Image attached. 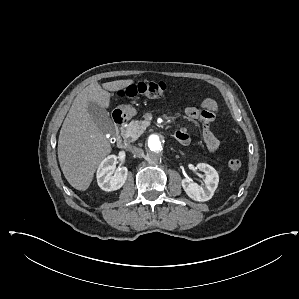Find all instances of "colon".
<instances>
[{"mask_svg": "<svg viewBox=\"0 0 299 299\" xmlns=\"http://www.w3.org/2000/svg\"><path fill=\"white\" fill-rule=\"evenodd\" d=\"M166 90V84L160 81H142L131 84L119 91L121 97L136 98V97H148L156 98L161 96ZM228 166L231 170H239L242 166V162L238 158H232L228 162Z\"/></svg>", "mask_w": 299, "mask_h": 299, "instance_id": "obj_1", "label": "colon"}]
</instances>
